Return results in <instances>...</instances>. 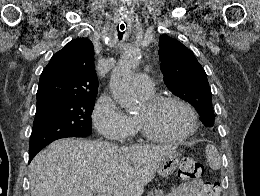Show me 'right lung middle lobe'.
Instances as JSON below:
<instances>
[{
  "instance_id": "right-lung-middle-lobe-1",
  "label": "right lung middle lobe",
  "mask_w": 260,
  "mask_h": 196,
  "mask_svg": "<svg viewBox=\"0 0 260 196\" xmlns=\"http://www.w3.org/2000/svg\"><path fill=\"white\" fill-rule=\"evenodd\" d=\"M96 96L80 94L37 106L29 151L60 138L89 136Z\"/></svg>"
}]
</instances>
